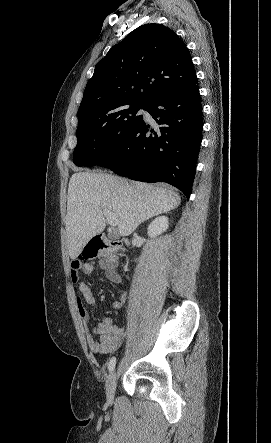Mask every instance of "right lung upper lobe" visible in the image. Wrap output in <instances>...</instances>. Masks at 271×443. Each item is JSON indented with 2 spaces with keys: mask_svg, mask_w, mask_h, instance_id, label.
Masks as SVG:
<instances>
[{
  "mask_svg": "<svg viewBox=\"0 0 271 443\" xmlns=\"http://www.w3.org/2000/svg\"><path fill=\"white\" fill-rule=\"evenodd\" d=\"M197 79L185 43L162 24L132 31L99 61L88 81L78 119L105 115L125 103H149Z\"/></svg>",
  "mask_w": 271,
  "mask_h": 443,
  "instance_id": "1",
  "label": "right lung upper lobe"
}]
</instances>
